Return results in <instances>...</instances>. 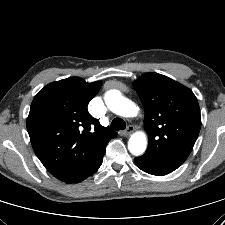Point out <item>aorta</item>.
I'll use <instances>...</instances> for the list:
<instances>
[{
  "label": "aorta",
  "instance_id": "aorta-1",
  "mask_svg": "<svg viewBox=\"0 0 225 225\" xmlns=\"http://www.w3.org/2000/svg\"><path fill=\"white\" fill-rule=\"evenodd\" d=\"M104 100L108 108L122 117H134L138 113V107L134 102L121 95L119 90H109L105 93ZM147 148V136L144 132L133 133L128 141V149L134 156L142 155Z\"/></svg>",
  "mask_w": 225,
  "mask_h": 225
}]
</instances>
